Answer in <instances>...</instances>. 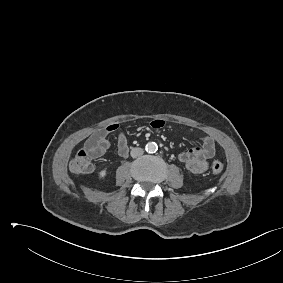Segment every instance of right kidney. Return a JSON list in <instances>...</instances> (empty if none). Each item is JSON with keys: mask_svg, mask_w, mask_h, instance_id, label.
<instances>
[{"mask_svg": "<svg viewBox=\"0 0 283 283\" xmlns=\"http://www.w3.org/2000/svg\"><path fill=\"white\" fill-rule=\"evenodd\" d=\"M107 175V171L106 169H103L99 172V177L100 178H105V176Z\"/></svg>", "mask_w": 283, "mask_h": 283, "instance_id": "right-kidney-1", "label": "right kidney"}]
</instances>
